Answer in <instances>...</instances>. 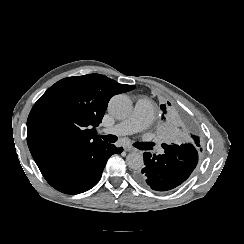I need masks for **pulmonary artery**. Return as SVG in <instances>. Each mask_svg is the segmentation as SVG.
<instances>
[{"label": "pulmonary artery", "instance_id": "e3ab8cb5", "mask_svg": "<svg viewBox=\"0 0 244 244\" xmlns=\"http://www.w3.org/2000/svg\"><path fill=\"white\" fill-rule=\"evenodd\" d=\"M135 112L124 120L123 125H112L109 129L110 134H135L152 123L154 108L150 101H138L135 105Z\"/></svg>", "mask_w": 244, "mask_h": 244}]
</instances>
